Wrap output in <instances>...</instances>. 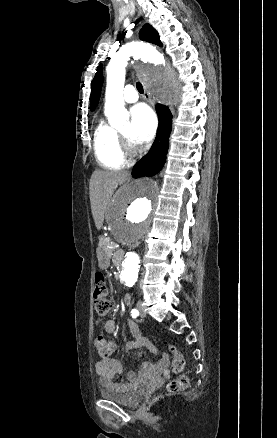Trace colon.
Returning <instances> with one entry per match:
<instances>
[{
    "mask_svg": "<svg viewBox=\"0 0 277 438\" xmlns=\"http://www.w3.org/2000/svg\"><path fill=\"white\" fill-rule=\"evenodd\" d=\"M108 296V288L106 284L105 275L102 272L95 273V302L94 309L98 317H105L110 310L111 303L107 299ZM94 346L97 350L99 358L104 360L109 357L112 352L115 350L114 341L105 336L103 334H98L94 338ZM173 354V364L172 371L174 373H179L184 368V357L183 355L177 351L172 350ZM189 384V380L187 377H179L173 380L167 381V389H163L161 395L163 398H174L177 391H181L185 389Z\"/></svg>",
    "mask_w": 277,
    "mask_h": 438,
    "instance_id": "obj_1",
    "label": "colon"
}]
</instances>
